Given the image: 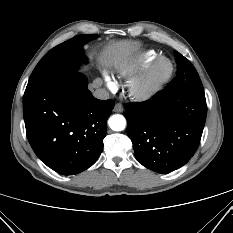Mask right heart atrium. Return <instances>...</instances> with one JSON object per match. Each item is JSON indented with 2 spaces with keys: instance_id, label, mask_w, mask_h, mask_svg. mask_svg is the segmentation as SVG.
<instances>
[{
  "instance_id": "d8ad5b80",
  "label": "right heart atrium",
  "mask_w": 233,
  "mask_h": 233,
  "mask_svg": "<svg viewBox=\"0 0 233 233\" xmlns=\"http://www.w3.org/2000/svg\"><path fill=\"white\" fill-rule=\"evenodd\" d=\"M104 81L109 90L115 91L118 88L117 81L107 72L103 74Z\"/></svg>"
}]
</instances>
